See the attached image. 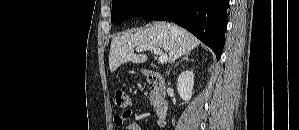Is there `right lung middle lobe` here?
I'll return each instance as SVG.
<instances>
[{"label": "right lung middle lobe", "mask_w": 299, "mask_h": 130, "mask_svg": "<svg viewBox=\"0 0 299 130\" xmlns=\"http://www.w3.org/2000/svg\"><path fill=\"white\" fill-rule=\"evenodd\" d=\"M157 0H113L111 22L119 24L131 17L141 16Z\"/></svg>", "instance_id": "obj_1"}]
</instances>
